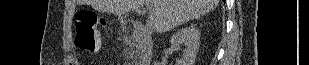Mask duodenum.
Returning <instances> with one entry per match:
<instances>
[{"instance_id": "1", "label": "duodenum", "mask_w": 309, "mask_h": 65, "mask_svg": "<svg viewBox=\"0 0 309 65\" xmlns=\"http://www.w3.org/2000/svg\"><path fill=\"white\" fill-rule=\"evenodd\" d=\"M133 41L138 45L137 65H150L153 57V40L151 34L145 29L135 27L131 31Z\"/></svg>"}]
</instances>
